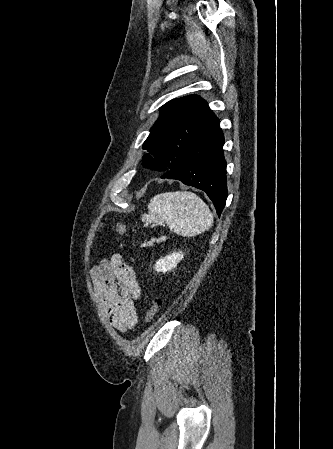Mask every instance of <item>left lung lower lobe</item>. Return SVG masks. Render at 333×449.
Wrapping results in <instances>:
<instances>
[{
    "mask_svg": "<svg viewBox=\"0 0 333 449\" xmlns=\"http://www.w3.org/2000/svg\"><path fill=\"white\" fill-rule=\"evenodd\" d=\"M224 135L220 121L213 112L196 135L185 160L161 178L177 179L185 185L204 191L212 200L220 216L227 199L226 161L223 154ZM144 166L154 167L152 158L143 159Z\"/></svg>",
    "mask_w": 333,
    "mask_h": 449,
    "instance_id": "obj_1",
    "label": "left lung lower lobe"
}]
</instances>
